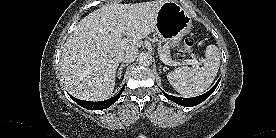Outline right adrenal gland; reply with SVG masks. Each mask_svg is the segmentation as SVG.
I'll use <instances>...</instances> for the list:
<instances>
[{"label":"right adrenal gland","mask_w":276,"mask_h":138,"mask_svg":"<svg viewBox=\"0 0 276 138\" xmlns=\"http://www.w3.org/2000/svg\"><path fill=\"white\" fill-rule=\"evenodd\" d=\"M128 66V64H122L119 68H118V72H117V75H118V78L120 79L121 78V74H122V69L124 67Z\"/></svg>","instance_id":"right-adrenal-gland-1"}]
</instances>
